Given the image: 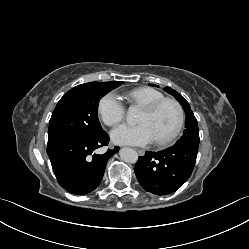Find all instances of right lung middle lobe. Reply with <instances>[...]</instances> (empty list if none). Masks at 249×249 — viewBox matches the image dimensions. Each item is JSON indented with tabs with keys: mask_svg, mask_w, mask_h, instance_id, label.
Wrapping results in <instances>:
<instances>
[{
	"mask_svg": "<svg viewBox=\"0 0 249 249\" xmlns=\"http://www.w3.org/2000/svg\"><path fill=\"white\" fill-rule=\"evenodd\" d=\"M123 82H90L69 90L54 109L48 132V146L75 138H93L103 132L98 117L99 100Z\"/></svg>",
	"mask_w": 249,
	"mask_h": 249,
	"instance_id": "1",
	"label": "right lung middle lobe"
}]
</instances>
